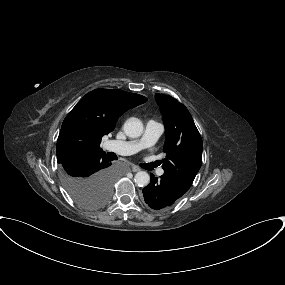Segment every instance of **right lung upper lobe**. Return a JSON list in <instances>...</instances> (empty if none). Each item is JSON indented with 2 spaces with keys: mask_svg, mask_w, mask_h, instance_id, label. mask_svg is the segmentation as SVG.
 I'll return each instance as SVG.
<instances>
[{
  "mask_svg": "<svg viewBox=\"0 0 285 285\" xmlns=\"http://www.w3.org/2000/svg\"><path fill=\"white\" fill-rule=\"evenodd\" d=\"M146 101L144 96L122 90L95 89L87 93L63 121L57 140V162L102 151L101 139L114 130L118 118Z\"/></svg>",
  "mask_w": 285,
  "mask_h": 285,
  "instance_id": "1",
  "label": "right lung upper lobe"
}]
</instances>
